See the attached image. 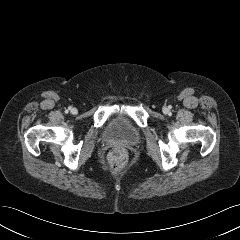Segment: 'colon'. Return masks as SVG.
<instances>
[{
    "label": "colon",
    "mask_w": 240,
    "mask_h": 240,
    "mask_svg": "<svg viewBox=\"0 0 240 240\" xmlns=\"http://www.w3.org/2000/svg\"><path fill=\"white\" fill-rule=\"evenodd\" d=\"M107 166L115 172L121 171L128 163V153L123 147H112L106 158Z\"/></svg>",
    "instance_id": "colon-1"
}]
</instances>
